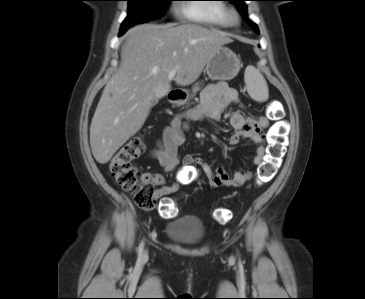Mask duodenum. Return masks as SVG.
<instances>
[{
  "mask_svg": "<svg viewBox=\"0 0 365 299\" xmlns=\"http://www.w3.org/2000/svg\"><path fill=\"white\" fill-rule=\"evenodd\" d=\"M185 97L186 93L183 90H172L169 93V99L174 103L184 100Z\"/></svg>",
  "mask_w": 365,
  "mask_h": 299,
  "instance_id": "duodenum-1",
  "label": "duodenum"
}]
</instances>
